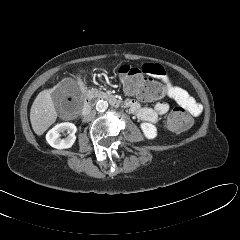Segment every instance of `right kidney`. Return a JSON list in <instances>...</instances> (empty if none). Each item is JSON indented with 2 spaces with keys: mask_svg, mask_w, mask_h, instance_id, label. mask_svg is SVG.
Masks as SVG:
<instances>
[{
  "mask_svg": "<svg viewBox=\"0 0 240 240\" xmlns=\"http://www.w3.org/2000/svg\"><path fill=\"white\" fill-rule=\"evenodd\" d=\"M76 126L73 123L64 122L57 124L46 134V141L48 144L56 149H67L70 148L76 140ZM68 131L69 135L61 139L60 133Z\"/></svg>",
  "mask_w": 240,
  "mask_h": 240,
  "instance_id": "right-kidney-1",
  "label": "right kidney"
}]
</instances>
